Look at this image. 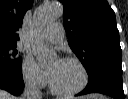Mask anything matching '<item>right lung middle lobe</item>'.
Here are the masks:
<instances>
[{
	"mask_svg": "<svg viewBox=\"0 0 128 99\" xmlns=\"http://www.w3.org/2000/svg\"><path fill=\"white\" fill-rule=\"evenodd\" d=\"M17 45L0 44V73L13 77L22 75V59L17 57Z\"/></svg>",
	"mask_w": 128,
	"mask_h": 99,
	"instance_id": "dd1d6c3e",
	"label": "right lung middle lobe"
}]
</instances>
